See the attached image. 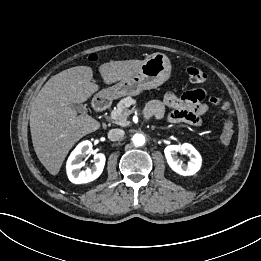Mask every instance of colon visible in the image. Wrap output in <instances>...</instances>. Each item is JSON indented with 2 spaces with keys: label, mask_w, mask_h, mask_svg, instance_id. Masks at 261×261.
Wrapping results in <instances>:
<instances>
[{
  "label": "colon",
  "mask_w": 261,
  "mask_h": 261,
  "mask_svg": "<svg viewBox=\"0 0 261 261\" xmlns=\"http://www.w3.org/2000/svg\"><path fill=\"white\" fill-rule=\"evenodd\" d=\"M88 59L90 61H95V60H97V55L91 54ZM186 72H187L190 82H192L194 84L203 83L207 78V75L203 70H201L197 67H194V66L188 67ZM210 101L213 104L219 105L226 114V118L224 119L223 124H222V130H221V134L219 137V142L222 146H227L231 142V139L233 137L234 123H233V118H232L231 106L220 95L212 96Z\"/></svg>",
  "instance_id": "5ec220e1"
}]
</instances>
